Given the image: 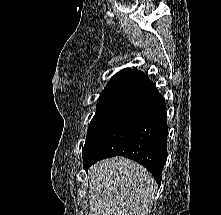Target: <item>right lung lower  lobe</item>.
<instances>
[{"instance_id":"98d812e1","label":"right lung lower lobe","mask_w":221,"mask_h":215,"mask_svg":"<svg viewBox=\"0 0 221 215\" xmlns=\"http://www.w3.org/2000/svg\"><path fill=\"white\" fill-rule=\"evenodd\" d=\"M167 132L165 102L154 87L132 100L94 150L83 157L84 169L105 158L124 156L143 165L160 185Z\"/></svg>"}]
</instances>
